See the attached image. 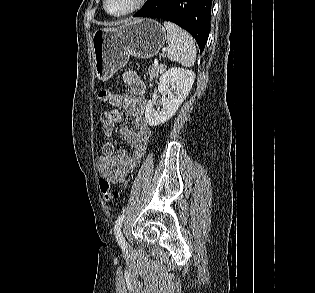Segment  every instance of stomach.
<instances>
[{"label": "stomach", "instance_id": "1", "mask_svg": "<svg viewBox=\"0 0 315 293\" xmlns=\"http://www.w3.org/2000/svg\"><path fill=\"white\" fill-rule=\"evenodd\" d=\"M165 41V29L152 19H136L119 27L96 30L91 43L97 79L106 81L111 78L127 64L130 56L152 58Z\"/></svg>", "mask_w": 315, "mask_h": 293}]
</instances>
